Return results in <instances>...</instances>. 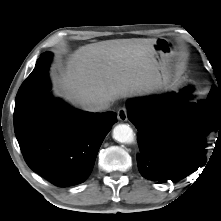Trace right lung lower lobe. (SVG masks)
Instances as JSON below:
<instances>
[{"instance_id": "1", "label": "right lung lower lobe", "mask_w": 221, "mask_h": 221, "mask_svg": "<svg viewBox=\"0 0 221 221\" xmlns=\"http://www.w3.org/2000/svg\"><path fill=\"white\" fill-rule=\"evenodd\" d=\"M47 69L36 70L21 85L15 100L31 93L34 106L24 122L14 123L28 166L59 187L77 185L90 175L98 150L117 121L114 112L89 113L53 99Z\"/></svg>"}]
</instances>
